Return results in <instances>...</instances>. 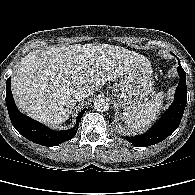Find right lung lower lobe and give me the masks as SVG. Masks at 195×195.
<instances>
[{
    "label": "right lung lower lobe",
    "instance_id": "98d812e1",
    "mask_svg": "<svg viewBox=\"0 0 195 195\" xmlns=\"http://www.w3.org/2000/svg\"><path fill=\"white\" fill-rule=\"evenodd\" d=\"M6 106L13 126L22 136L34 143L47 147L56 146L72 139L77 133L79 121L85 112V109H83L79 113L74 128L63 131H53L43 124L22 114L17 109L11 92L10 78L7 79L6 83Z\"/></svg>",
    "mask_w": 195,
    "mask_h": 195
}]
</instances>
